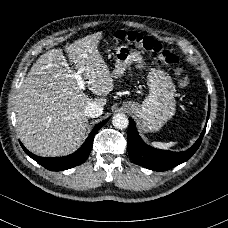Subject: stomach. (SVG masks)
<instances>
[{
	"mask_svg": "<svg viewBox=\"0 0 228 228\" xmlns=\"http://www.w3.org/2000/svg\"><path fill=\"white\" fill-rule=\"evenodd\" d=\"M115 61V77L124 74L132 64L142 67L145 63L143 54L128 44L115 49ZM146 78L149 94L144 102L126 101L121 103V107L132 112L144 129L154 131L160 129L175 112L174 82L167 72L158 69L149 70Z\"/></svg>",
	"mask_w": 228,
	"mask_h": 228,
	"instance_id": "0dacf381",
	"label": "stomach"
}]
</instances>
